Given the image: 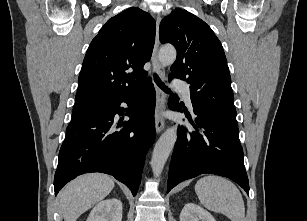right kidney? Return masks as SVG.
Masks as SVG:
<instances>
[{
	"mask_svg": "<svg viewBox=\"0 0 307 221\" xmlns=\"http://www.w3.org/2000/svg\"><path fill=\"white\" fill-rule=\"evenodd\" d=\"M122 202L111 198L99 202L90 212L86 221H121Z\"/></svg>",
	"mask_w": 307,
	"mask_h": 221,
	"instance_id": "1",
	"label": "right kidney"
}]
</instances>
